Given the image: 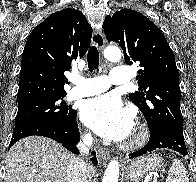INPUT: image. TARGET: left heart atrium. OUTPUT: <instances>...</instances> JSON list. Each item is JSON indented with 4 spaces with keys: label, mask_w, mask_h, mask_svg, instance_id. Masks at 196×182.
I'll use <instances>...</instances> for the list:
<instances>
[{
    "label": "left heart atrium",
    "mask_w": 196,
    "mask_h": 182,
    "mask_svg": "<svg viewBox=\"0 0 196 182\" xmlns=\"http://www.w3.org/2000/svg\"><path fill=\"white\" fill-rule=\"evenodd\" d=\"M80 117L96 134L113 141L126 139L134 127L133 112L114 93L86 100Z\"/></svg>",
    "instance_id": "1"
}]
</instances>
